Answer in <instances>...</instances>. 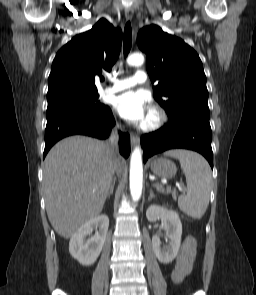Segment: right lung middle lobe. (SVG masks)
I'll return each mask as SVG.
<instances>
[{
  "label": "right lung middle lobe",
  "instance_id": "1",
  "mask_svg": "<svg viewBox=\"0 0 256 295\" xmlns=\"http://www.w3.org/2000/svg\"><path fill=\"white\" fill-rule=\"evenodd\" d=\"M98 98V93H68L48 100V106H76L87 110L104 109L106 105L101 104Z\"/></svg>",
  "mask_w": 256,
  "mask_h": 295
}]
</instances>
